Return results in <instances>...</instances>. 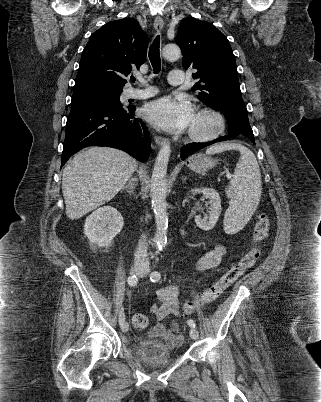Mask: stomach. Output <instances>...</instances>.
I'll return each instance as SVG.
<instances>
[{"instance_id":"0dacf381","label":"stomach","mask_w":321,"mask_h":402,"mask_svg":"<svg viewBox=\"0 0 321 402\" xmlns=\"http://www.w3.org/2000/svg\"><path fill=\"white\" fill-rule=\"evenodd\" d=\"M216 164V160L202 153L192 155L187 161V166L197 173H205Z\"/></svg>"}]
</instances>
